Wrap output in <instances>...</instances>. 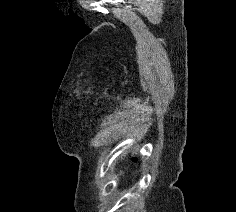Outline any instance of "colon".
Returning <instances> with one entry per match:
<instances>
[{"label":"colon","mask_w":236,"mask_h":212,"mask_svg":"<svg viewBox=\"0 0 236 212\" xmlns=\"http://www.w3.org/2000/svg\"><path fill=\"white\" fill-rule=\"evenodd\" d=\"M137 159V156H134V160H136Z\"/></svg>","instance_id":"5ec220e1"}]
</instances>
